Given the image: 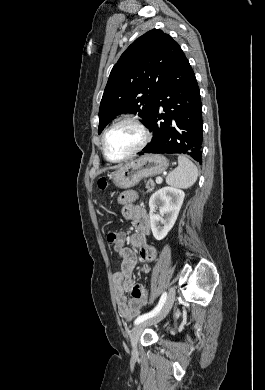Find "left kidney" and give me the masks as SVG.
<instances>
[{
  "instance_id": "left-kidney-1",
  "label": "left kidney",
  "mask_w": 265,
  "mask_h": 390,
  "mask_svg": "<svg viewBox=\"0 0 265 390\" xmlns=\"http://www.w3.org/2000/svg\"><path fill=\"white\" fill-rule=\"evenodd\" d=\"M184 197V191L174 187H163L150 197V223L156 240L164 239L174 226Z\"/></svg>"
}]
</instances>
